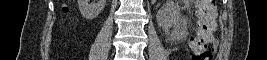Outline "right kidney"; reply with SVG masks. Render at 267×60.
Returning <instances> with one entry per match:
<instances>
[{"label": "right kidney", "instance_id": "right-kidney-1", "mask_svg": "<svg viewBox=\"0 0 267 60\" xmlns=\"http://www.w3.org/2000/svg\"><path fill=\"white\" fill-rule=\"evenodd\" d=\"M78 0V6L82 16L88 20L95 19L103 10L106 0Z\"/></svg>", "mask_w": 267, "mask_h": 60}]
</instances>
